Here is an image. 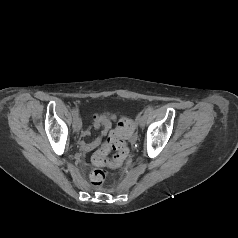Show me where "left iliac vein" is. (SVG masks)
Returning <instances> with one entry per match:
<instances>
[{"instance_id":"obj_1","label":"left iliac vein","mask_w":238,"mask_h":238,"mask_svg":"<svg viewBox=\"0 0 238 238\" xmlns=\"http://www.w3.org/2000/svg\"><path fill=\"white\" fill-rule=\"evenodd\" d=\"M146 116H147L146 114H143L142 116L139 117L138 122H139L140 127H142V128L145 126Z\"/></svg>"}]
</instances>
